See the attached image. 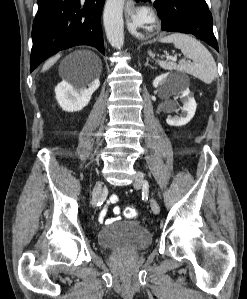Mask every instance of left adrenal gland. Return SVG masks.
Segmentation results:
<instances>
[{"instance_id": "1", "label": "left adrenal gland", "mask_w": 247, "mask_h": 299, "mask_svg": "<svg viewBox=\"0 0 247 299\" xmlns=\"http://www.w3.org/2000/svg\"><path fill=\"white\" fill-rule=\"evenodd\" d=\"M145 66H149V67H151L152 69L154 68V67H152V66L149 64V59H147V61H146V63H145Z\"/></svg>"}]
</instances>
